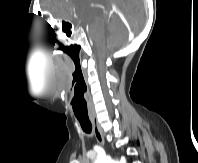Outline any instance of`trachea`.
<instances>
[{"mask_svg": "<svg viewBox=\"0 0 198 163\" xmlns=\"http://www.w3.org/2000/svg\"><path fill=\"white\" fill-rule=\"evenodd\" d=\"M80 105H82V104H80ZM76 117H77V119H78V121H79V123H80V125H81V127L83 129V131L85 133H91V131H92V124H91L89 118L88 117H79V116H76Z\"/></svg>", "mask_w": 198, "mask_h": 163, "instance_id": "obj_1", "label": "trachea"}]
</instances>
